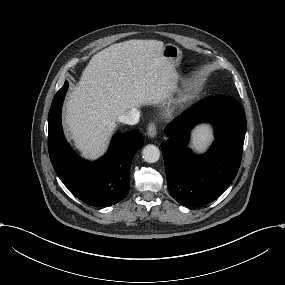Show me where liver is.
Here are the masks:
<instances>
[{"label": "liver", "instance_id": "obj_1", "mask_svg": "<svg viewBox=\"0 0 285 285\" xmlns=\"http://www.w3.org/2000/svg\"><path fill=\"white\" fill-rule=\"evenodd\" d=\"M178 71L161 41L131 40L95 55L67 103L66 123L89 156L105 147L117 118L141 103L177 90Z\"/></svg>", "mask_w": 285, "mask_h": 285}]
</instances>
